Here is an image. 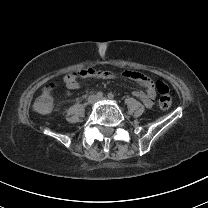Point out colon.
Wrapping results in <instances>:
<instances>
[{
    "label": "colon",
    "mask_w": 208,
    "mask_h": 208,
    "mask_svg": "<svg viewBox=\"0 0 208 208\" xmlns=\"http://www.w3.org/2000/svg\"><path fill=\"white\" fill-rule=\"evenodd\" d=\"M79 75V74H76ZM72 77V75L70 76ZM71 81V79H70ZM155 87L159 93L158 105L160 109L167 110L171 107V92L166 82L157 79ZM58 96V83L49 81L45 84L38 94V100L35 102V109L40 114L48 113L54 106V99Z\"/></svg>",
    "instance_id": "colon-1"
}]
</instances>
